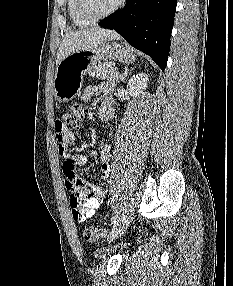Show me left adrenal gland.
Listing matches in <instances>:
<instances>
[{
  "label": "left adrenal gland",
  "instance_id": "1",
  "mask_svg": "<svg viewBox=\"0 0 233 286\" xmlns=\"http://www.w3.org/2000/svg\"><path fill=\"white\" fill-rule=\"evenodd\" d=\"M135 68V67H134ZM134 68H132L131 70H133ZM129 69H125V72L120 76V81H123L124 79H126V77L128 76V73L131 71Z\"/></svg>",
  "mask_w": 233,
  "mask_h": 286
}]
</instances>
